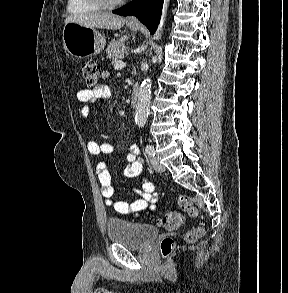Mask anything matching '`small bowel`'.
<instances>
[{
	"mask_svg": "<svg viewBox=\"0 0 288 293\" xmlns=\"http://www.w3.org/2000/svg\"><path fill=\"white\" fill-rule=\"evenodd\" d=\"M102 76L105 78L108 76V73L103 72ZM110 95V88L103 83L98 84L93 88H85L78 91L77 99L82 104L81 115L84 118H87L89 115L88 105L103 102L107 100ZM87 149L89 153L94 156L109 155L115 151L114 145L110 143H97L95 141H89L87 143ZM126 160L127 165L124 173L130 178L139 177V188L113 186L106 162L102 160L97 164V176L101 184V194L105 199L106 205L121 215H127L129 213L137 214L145 210L147 207L152 210L155 209L158 197L151 179L148 175L143 173V164L139 158V149L136 145H130L128 147ZM129 191L134 192L138 196L135 201L128 203L126 201L114 199L117 192Z\"/></svg>",
	"mask_w": 288,
	"mask_h": 293,
	"instance_id": "small-bowel-1",
	"label": "small bowel"
}]
</instances>
